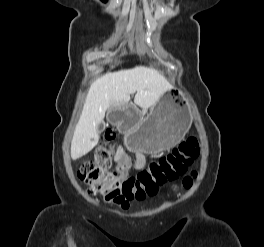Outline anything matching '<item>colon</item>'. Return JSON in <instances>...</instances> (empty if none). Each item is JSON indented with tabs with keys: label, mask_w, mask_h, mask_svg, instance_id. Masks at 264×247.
Instances as JSON below:
<instances>
[{
	"label": "colon",
	"mask_w": 264,
	"mask_h": 247,
	"mask_svg": "<svg viewBox=\"0 0 264 247\" xmlns=\"http://www.w3.org/2000/svg\"><path fill=\"white\" fill-rule=\"evenodd\" d=\"M115 139L116 132L111 128L105 129L94 160H85L79 166L78 175L88 185L91 195H101L105 200L127 208L130 202L156 194L161 187L180 176H183L181 186L192 188L197 172H186L200 152L196 137L187 139L168 155L152 161L136 176L128 175L124 163L112 167L111 143Z\"/></svg>",
	"instance_id": "5ec220e1"
}]
</instances>
